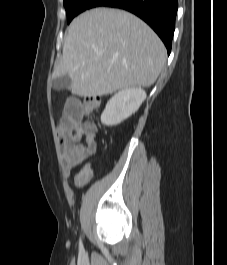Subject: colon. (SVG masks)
Here are the masks:
<instances>
[{
	"label": "colon",
	"mask_w": 227,
	"mask_h": 265,
	"mask_svg": "<svg viewBox=\"0 0 227 265\" xmlns=\"http://www.w3.org/2000/svg\"><path fill=\"white\" fill-rule=\"evenodd\" d=\"M81 102H83L84 112L85 113H91L99 107L100 98L99 97H89V98H85ZM62 127H63V122H61L59 124V127H58V136L60 138H61V134H62ZM60 141H61V139H60Z\"/></svg>",
	"instance_id": "5ec220e1"
}]
</instances>
